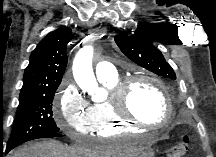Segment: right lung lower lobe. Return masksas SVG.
I'll return each instance as SVG.
<instances>
[{
    "instance_id": "1",
    "label": "right lung lower lobe",
    "mask_w": 216,
    "mask_h": 157,
    "mask_svg": "<svg viewBox=\"0 0 216 157\" xmlns=\"http://www.w3.org/2000/svg\"><path fill=\"white\" fill-rule=\"evenodd\" d=\"M56 136H60V134H52V135H47V136H43L41 138H50V137H56ZM13 147H7L6 148V153H8Z\"/></svg>"
}]
</instances>
